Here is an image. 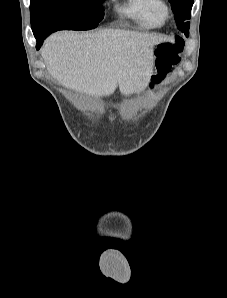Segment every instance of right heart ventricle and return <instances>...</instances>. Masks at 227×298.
Listing matches in <instances>:
<instances>
[{"label": "right heart ventricle", "instance_id": "right-heart-ventricle-1", "mask_svg": "<svg viewBox=\"0 0 227 298\" xmlns=\"http://www.w3.org/2000/svg\"><path fill=\"white\" fill-rule=\"evenodd\" d=\"M120 11L145 29L161 27L168 17L163 0H127Z\"/></svg>", "mask_w": 227, "mask_h": 298}]
</instances>
